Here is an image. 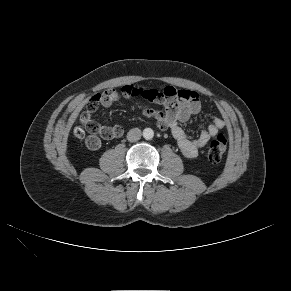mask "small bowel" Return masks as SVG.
I'll use <instances>...</instances> for the list:
<instances>
[{
  "instance_id": "obj_1",
  "label": "small bowel",
  "mask_w": 291,
  "mask_h": 291,
  "mask_svg": "<svg viewBox=\"0 0 291 291\" xmlns=\"http://www.w3.org/2000/svg\"><path fill=\"white\" fill-rule=\"evenodd\" d=\"M150 94H153L152 99ZM99 95L102 96L99 106L103 107L111 106L120 96L124 98L141 97L161 105V110L148 108L143 111V114L146 117L153 118L158 128L169 129L181 153L187 158H195L199 150L226 126L225 120L211 117L210 123L200 132L197 138L192 139L187 135L182 124L192 116L199 114L202 108L199 94L195 90L176 89L172 86H167L163 90H156L128 84L124 85L120 92L108 90ZM113 127H118L123 133L120 126ZM86 145L89 149L96 150L100 146V140L97 138L94 144L86 141Z\"/></svg>"
}]
</instances>
